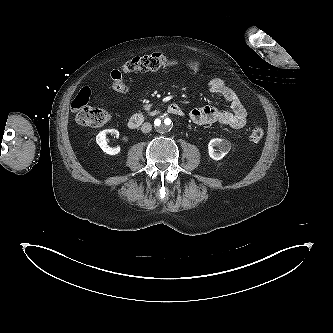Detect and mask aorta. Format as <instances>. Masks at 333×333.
Masks as SVG:
<instances>
[{
	"label": "aorta",
	"instance_id": "1",
	"mask_svg": "<svg viewBox=\"0 0 333 333\" xmlns=\"http://www.w3.org/2000/svg\"><path fill=\"white\" fill-rule=\"evenodd\" d=\"M155 129L159 133H166L171 129V120L167 117H161L155 121Z\"/></svg>",
	"mask_w": 333,
	"mask_h": 333
}]
</instances>
